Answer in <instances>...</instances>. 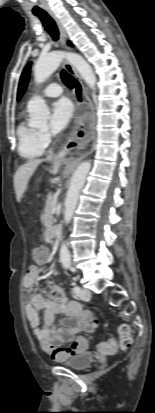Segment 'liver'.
Masks as SVG:
<instances>
[{"instance_id":"6515ba94","label":"liver","mask_w":155,"mask_h":413,"mask_svg":"<svg viewBox=\"0 0 155 413\" xmlns=\"http://www.w3.org/2000/svg\"><path fill=\"white\" fill-rule=\"evenodd\" d=\"M43 162L42 159H32L20 166L14 175V188L17 201H20L22 195L27 189L28 182L34 174L37 167Z\"/></svg>"}]
</instances>
